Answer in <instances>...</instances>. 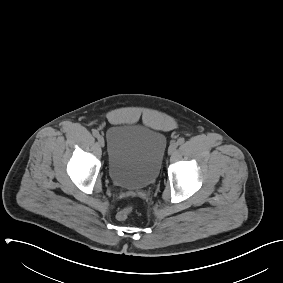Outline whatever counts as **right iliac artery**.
<instances>
[{
	"mask_svg": "<svg viewBox=\"0 0 283 283\" xmlns=\"http://www.w3.org/2000/svg\"><path fill=\"white\" fill-rule=\"evenodd\" d=\"M93 135L95 136V137H98L99 136V132L97 131V130H93Z\"/></svg>",
	"mask_w": 283,
	"mask_h": 283,
	"instance_id": "right-iliac-artery-1",
	"label": "right iliac artery"
}]
</instances>
